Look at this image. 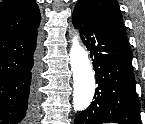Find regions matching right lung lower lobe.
<instances>
[{
    "instance_id": "98d812e1",
    "label": "right lung lower lobe",
    "mask_w": 145,
    "mask_h": 124,
    "mask_svg": "<svg viewBox=\"0 0 145 124\" xmlns=\"http://www.w3.org/2000/svg\"><path fill=\"white\" fill-rule=\"evenodd\" d=\"M40 53L37 29L0 37V124H23L35 115Z\"/></svg>"
}]
</instances>
